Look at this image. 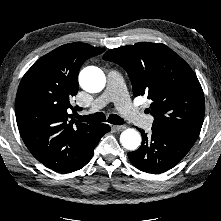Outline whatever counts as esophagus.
<instances>
[{
    "instance_id": "1",
    "label": "esophagus",
    "mask_w": 221,
    "mask_h": 221,
    "mask_svg": "<svg viewBox=\"0 0 221 221\" xmlns=\"http://www.w3.org/2000/svg\"><path fill=\"white\" fill-rule=\"evenodd\" d=\"M113 129L115 131H122V130L126 129V126L125 125H115V126H113Z\"/></svg>"
}]
</instances>
